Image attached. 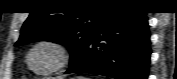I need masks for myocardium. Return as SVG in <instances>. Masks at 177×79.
I'll list each match as a JSON object with an SVG mask.
<instances>
[{
	"label": "myocardium",
	"instance_id": "obj_1",
	"mask_svg": "<svg viewBox=\"0 0 177 79\" xmlns=\"http://www.w3.org/2000/svg\"><path fill=\"white\" fill-rule=\"evenodd\" d=\"M42 46L53 48L57 52V56H58L56 64L51 69L46 70V71L37 70L36 68L33 67L31 63V56L33 52ZM69 58H70V52H69L68 47L65 44L59 41H56V40H41L37 42L36 44H34L33 47L29 50L27 57H26V61H27L28 67L33 72L37 74H41V75H50L64 68L65 65L68 63Z\"/></svg>",
	"mask_w": 177,
	"mask_h": 79
}]
</instances>
